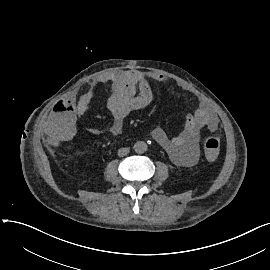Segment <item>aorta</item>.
<instances>
[{
    "label": "aorta",
    "mask_w": 270,
    "mask_h": 270,
    "mask_svg": "<svg viewBox=\"0 0 270 270\" xmlns=\"http://www.w3.org/2000/svg\"><path fill=\"white\" fill-rule=\"evenodd\" d=\"M133 150L138 154H142L147 151V144L144 141H137L133 145Z\"/></svg>",
    "instance_id": "aorta-1"
}]
</instances>
